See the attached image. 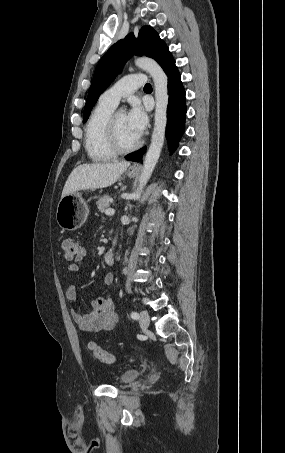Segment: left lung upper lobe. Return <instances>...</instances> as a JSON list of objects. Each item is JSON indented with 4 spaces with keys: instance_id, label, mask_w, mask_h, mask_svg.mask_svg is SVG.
Wrapping results in <instances>:
<instances>
[{
    "instance_id": "1",
    "label": "left lung upper lobe",
    "mask_w": 285,
    "mask_h": 453,
    "mask_svg": "<svg viewBox=\"0 0 285 453\" xmlns=\"http://www.w3.org/2000/svg\"><path fill=\"white\" fill-rule=\"evenodd\" d=\"M168 50L164 41L150 26L141 29L137 39L133 33H130L125 39L112 45L96 67L84 108L83 123L87 121L92 107L101 93L114 80L132 55H146L159 62Z\"/></svg>"
}]
</instances>
